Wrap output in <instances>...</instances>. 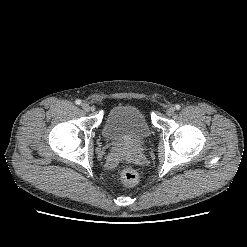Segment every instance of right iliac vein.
Returning a JSON list of instances; mask_svg holds the SVG:
<instances>
[{"mask_svg":"<svg viewBox=\"0 0 247 247\" xmlns=\"http://www.w3.org/2000/svg\"><path fill=\"white\" fill-rule=\"evenodd\" d=\"M81 108L85 111V112H89L90 111V105L87 103H82L81 104Z\"/></svg>","mask_w":247,"mask_h":247,"instance_id":"right-iliac-vein-1","label":"right iliac vein"}]
</instances>
